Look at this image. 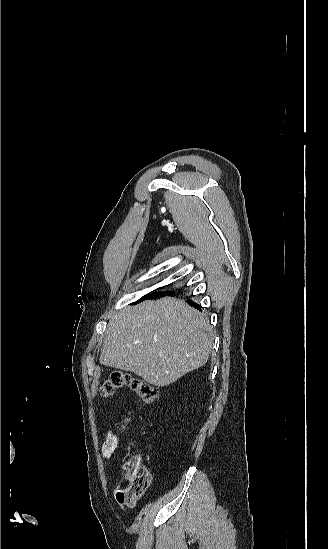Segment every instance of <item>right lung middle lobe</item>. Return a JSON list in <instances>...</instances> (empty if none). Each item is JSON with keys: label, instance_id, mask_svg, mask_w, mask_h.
Here are the masks:
<instances>
[{"label": "right lung middle lobe", "instance_id": "1", "mask_svg": "<svg viewBox=\"0 0 328 549\" xmlns=\"http://www.w3.org/2000/svg\"><path fill=\"white\" fill-rule=\"evenodd\" d=\"M164 294H165L164 292H157V293H152V294L150 293V294H147L144 297H142L139 301H142L144 299H154V298H157V297L162 296Z\"/></svg>", "mask_w": 328, "mask_h": 549}]
</instances>
